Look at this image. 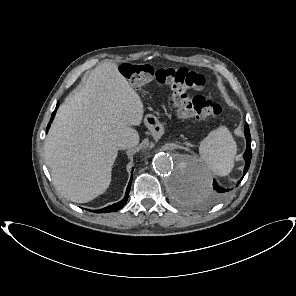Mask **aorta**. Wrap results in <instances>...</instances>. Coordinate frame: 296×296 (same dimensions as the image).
<instances>
[{
	"instance_id": "aorta-1",
	"label": "aorta",
	"mask_w": 296,
	"mask_h": 296,
	"mask_svg": "<svg viewBox=\"0 0 296 296\" xmlns=\"http://www.w3.org/2000/svg\"><path fill=\"white\" fill-rule=\"evenodd\" d=\"M152 164L155 172L163 177L166 190L174 201L196 206L209 196L211 180L196 157L158 153Z\"/></svg>"
}]
</instances>
